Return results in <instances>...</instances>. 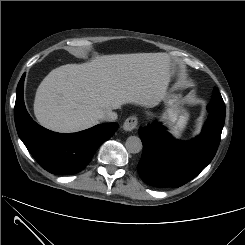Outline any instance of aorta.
I'll return each mask as SVG.
<instances>
[{"label":"aorta","mask_w":245,"mask_h":245,"mask_svg":"<svg viewBox=\"0 0 245 245\" xmlns=\"http://www.w3.org/2000/svg\"><path fill=\"white\" fill-rule=\"evenodd\" d=\"M125 146L128 152L133 154L139 153L143 148L141 139L137 136H129L126 140Z\"/></svg>","instance_id":"obj_1"}]
</instances>
